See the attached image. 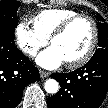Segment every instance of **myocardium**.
Returning <instances> with one entry per match:
<instances>
[{
	"mask_svg": "<svg viewBox=\"0 0 108 108\" xmlns=\"http://www.w3.org/2000/svg\"><path fill=\"white\" fill-rule=\"evenodd\" d=\"M78 20H86L87 22H89V24L91 25V28H92V39H91V42L89 44V47L83 53V55H81L79 58H77L75 60L65 62V66L68 68H76V67L82 66L94 54V51H95L97 43H98V38H99V31H98V26H97L96 21L90 15L76 14V15L71 16V17L67 18L66 20H64L54 30V32L51 34V36L49 38V42L52 45L53 41L56 38L63 35L69 29V27Z\"/></svg>",
	"mask_w": 108,
	"mask_h": 108,
	"instance_id": "obj_1",
	"label": "myocardium"
}]
</instances>
